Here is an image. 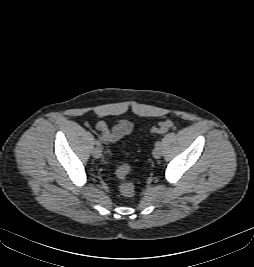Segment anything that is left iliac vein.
I'll list each match as a JSON object with an SVG mask.
<instances>
[{
    "instance_id": "1",
    "label": "left iliac vein",
    "mask_w": 254,
    "mask_h": 267,
    "mask_svg": "<svg viewBox=\"0 0 254 267\" xmlns=\"http://www.w3.org/2000/svg\"><path fill=\"white\" fill-rule=\"evenodd\" d=\"M161 155H162V150H161V148H160L159 146H156V147L154 148V150H153V157L156 158V159H158V158L161 157Z\"/></svg>"
}]
</instances>
